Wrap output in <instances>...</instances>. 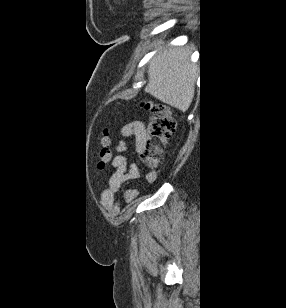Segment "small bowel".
Here are the masks:
<instances>
[{"label": "small bowel", "instance_id": "obj_1", "mask_svg": "<svg viewBox=\"0 0 286 308\" xmlns=\"http://www.w3.org/2000/svg\"><path fill=\"white\" fill-rule=\"evenodd\" d=\"M122 139L117 144V151L120 152L113 161V171L109 178L110 195L113 197L120 186L130 180H134L140 177V170L135 163H129L124 153L127 150L128 140L134 139L136 146H139L143 140L145 134V128L142 122L134 121L122 128ZM146 177L148 180L155 179V173L147 172ZM137 195L135 189H129L126 191L124 199L125 201L132 200ZM115 211L116 208L112 207Z\"/></svg>", "mask_w": 286, "mask_h": 308}]
</instances>
